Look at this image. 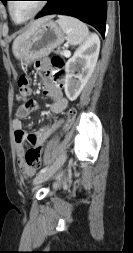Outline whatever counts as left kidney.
Masks as SVG:
<instances>
[{
	"label": "left kidney",
	"instance_id": "obj_1",
	"mask_svg": "<svg viewBox=\"0 0 133 253\" xmlns=\"http://www.w3.org/2000/svg\"><path fill=\"white\" fill-rule=\"evenodd\" d=\"M99 51V37L92 35L67 61L64 88L65 94L70 101H74L80 95L91 77L97 63Z\"/></svg>",
	"mask_w": 133,
	"mask_h": 253
}]
</instances>
